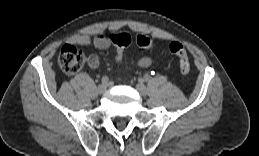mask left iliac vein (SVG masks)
<instances>
[{
	"mask_svg": "<svg viewBox=\"0 0 259 156\" xmlns=\"http://www.w3.org/2000/svg\"><path fill=\"white\" fill-rule=\"evenodd\" d=\"M136 90L141 96H145L147 94L146 86L142 82L136 84Z\"/></svg>",
	"mask_w": 259,
	"mask_h": 156,
	"instance_id": "1",
	"label": "left iliac vein"
}]
</instances>
